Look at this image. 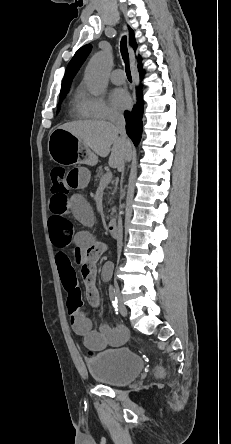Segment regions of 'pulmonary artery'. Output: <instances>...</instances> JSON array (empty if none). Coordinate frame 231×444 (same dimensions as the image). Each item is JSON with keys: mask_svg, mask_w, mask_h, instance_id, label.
I'll return each instance as SVG.
<instances>
[{"mask_svg": "<svg viewBox=\"0 0 231 444\" xmlns=\"http://www.w3.org/2000/svg\"><path fill=\"white\" fill-rule=\"evenodd\" d=\"M125 80H126L125 72L121 69H117L113 71V73L111 74V81L116 85L123 84Z\"/></svg>", "mask_w": 231, "mask_h": 444, "instance_id": "obj_1", "label": "pulmonary artery"}]
</instances>
